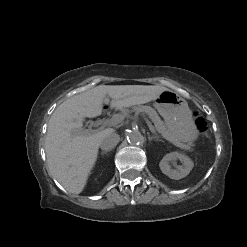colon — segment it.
<instances>
[{
	"mask_svg": "<svg viewBox=\"0 0 247 247\" xmlns=\"http://www.w3.org/2000/svg\"><path fill=\"white\" fill-rule=\"evenodd\" d=\"M196 127H197V130L199 131V133H201V134H205L207 131V124H206L205 120L201 117H198L196 119Z\"/></svg>",
	"mask_w": 247,
	"mask_h": 247,
	"instance_id": "5ec220e1",
	"label": "colon"
}]
</instances>
